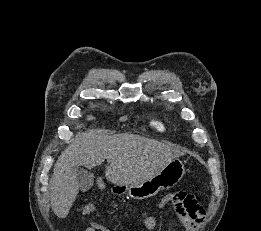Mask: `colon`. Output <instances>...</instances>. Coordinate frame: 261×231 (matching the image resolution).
<instances>
[{
	"instance_id": "colon-1",
	"label": "colon",
	"mask_w": 261,
	"mask_h": 231,
	"mask_svg": "<svg viewBox=\"0 0 261 231\" xmlns=\"http://www.w3.org/2000/svg\"><path fill=\"white\" fill-rule=\"evenodd\" d=\"M169 202L176 216L182 221H194L203 223L206 214L197 199L186 192L177 191L169 194Z\"/></svg>"
}]
</instances>
